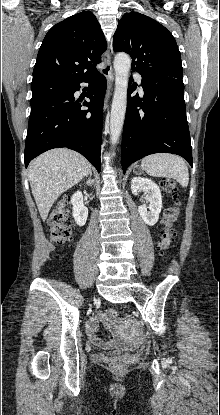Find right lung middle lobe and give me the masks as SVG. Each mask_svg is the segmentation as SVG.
<instances>
[{
  "instance_id": "obj_1",
  "label": "right lung middle lobe",
  "mask_w": 220,
  "mask_h": 415,
  "mask_svg": "<svg viewBox=\"0 0 220 415\" xmlns=\"http://www.w3.org/2000/svg\"><path fill=\"white\" fill-rule=\"evenodd\" d=\"M70 86L71 83L56 80L31 83V107L63 95Z\"/></svg>"
}]
</instances>
